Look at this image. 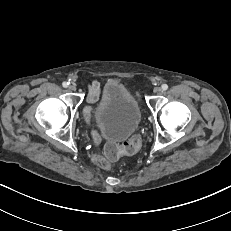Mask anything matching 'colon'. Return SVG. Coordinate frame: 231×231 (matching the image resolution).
I'll return each instance as SVG.
<instances>
[{
    "label": "colon",
    "instance_id": "5ec220e1",
    "mask_svg": "<svg viewBox=\"0 0 231 231\" xmlns=\"http://www.w3.org/2000/svg\"><path fill=\"white\" fill-rule=\"evenodd\" d=\"M140 144L139 137H133L123 144L108 142L104 145L102 153H95L92 156V160L97 166L108 169L110 162L118 159L120 156L134 155L139 150Z\"/></svg>",
    "mask_w": 231,
    "mask_h": 231
}]
</instances>
